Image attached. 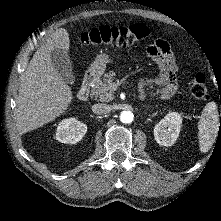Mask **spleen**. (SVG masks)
I'll list each match as a JSON object with an SVG mask.
<instances>
[{"label":"spleen","mask_w":221,"mask_h":221,"mask_svg":"<svg viewBox=\"0 0 221 221\" xmlns=\"http://www.w3.org/2000/svg\"><path fill=\"white\" fill-rule=\"evenodd\" d=\"M200 151L206 153L214 144L219 130V114L215 102H209L198 122Z\"/></svg>","instance_id":"obj_1"}]
</instances>
